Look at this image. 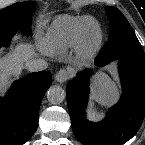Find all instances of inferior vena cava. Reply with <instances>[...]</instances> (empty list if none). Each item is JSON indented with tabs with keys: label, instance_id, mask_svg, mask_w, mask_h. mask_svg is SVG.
<instances>
[{
	"label": "inferior vena cava",
	"instance_id": "602c4592",
	"mask_svg": "<svg viewBox=\"0 0 145 145\" xmlns=\"http://www.w3.org/2000/svg\"><path fill=\"white\" fill-rule=\"evenodd\" d=\"M25 66L30 72H38L45 70L47 68V63L43 59H34L28 60Z\"/></svg>",
	"mask_w": 145,
	"mask_h": 145
}]
</instances>
